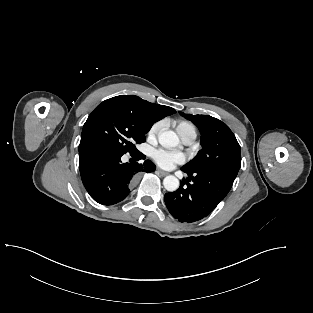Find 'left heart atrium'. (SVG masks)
<instances>
[{
  "instance_id": "1",
  "label": "left heart atrium",
  "mask_w": 313,
  "mask_h": 313,
  "mask_svg": "<svg viewBox=\"0 0 313 313\" xmlns=\"http://www.w3.org/2000/svg\"><path fill=\"white\" fill-rule=\"evenodd\" d=\"M152 158L156 164L164 169H171L177 164L186 161V155L181 151H171L166 149H155Z\"/></svg>"
}]
</instances>
